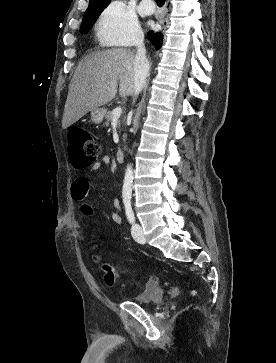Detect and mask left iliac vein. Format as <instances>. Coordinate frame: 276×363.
Segmentation results:
<instances>
[{
    "label": "left iliac vein",
    "mask_w": 276,
    "mask_h": 363,
    "mask_svg": "<svg viewBox=\"0 0 276 363\" xmlns=\"http://www.w3.org/2000/svg\"><path fill=\"white\" fill-rule=\"evenodd\" d=\"M131 233H132V237L134 238V240L136 242L141 243V244H144L146 242L142 227L138 223H135L132 225Z\"/></svg>",
    "instance_id": "1"
}]
</instances>
